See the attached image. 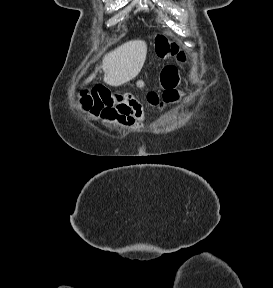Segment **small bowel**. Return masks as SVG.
I'll return each mask as SVG.
<instances>
[{
  "instance_id": "c3829d8e",
  "label": "small bowel",
  "mask_w": 273,
  "mask_h": 288,
  "mask_svg": "<svg viewBox=\"0 0 273 288\" xmlns=\"http://www.w3.org/2000/svg\"><path fill=\"white\" fill-rule=\"evenodd\" d=\"M137 119L139 121H142L144 119V115H143L142 109L140 107L138 108Z\"/></svg>"
}]
</instances>
